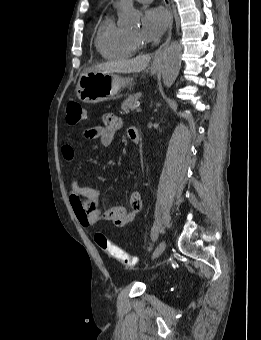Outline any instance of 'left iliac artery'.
Instances as JSON below:
<instances>
[{
  "instance_id": "left-iliac-artery-1",
  "label": "left iliac artery",
  "mask_w": 261,
  "mask_h": 340,
  "mask_svg": "<svg viewBox=\"0 0 261 340\" xmlns=\"http://www.w3.org/2000/svg\"><path fill=\"white\" fill-rule=\"evenodd\" d=\"M158 237H159V233H158V232H153V233L151 234V239H152V241H153L154 243L157 242Z\"/></svg>"
}]
</instances>
